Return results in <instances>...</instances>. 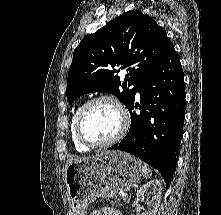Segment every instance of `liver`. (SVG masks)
I'll return each mask as SVG.
<instances>
[{"instance_id": "6515ba94", "label": "liver", "mask_w": 221, "mask_h": 215, "mask_svg": "<svg viewBox=\"0 0 221 215\" xmlns=\"http://www.w3.org/2000/svg\"><path fill=\"white\" fill-rule=\"evenodd\" d=\"M88 158H89V157H88ZM83 159H86V158L69 159V160H67V163H66V165H65V170H64V171H66V168H67V166H68L69 164H71V163H73V162H77V161L83 160Z\"/></svg>"}]
</instances>
